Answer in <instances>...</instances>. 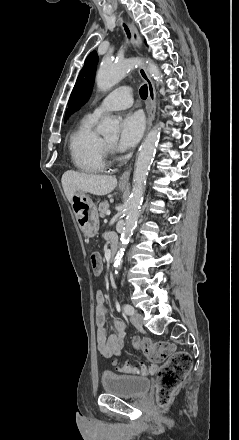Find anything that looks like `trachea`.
Segmentation results:
<instances>
[{"mask_svg": "<svg viewBox=\"0 0 239 440\" xmlns=\"http://www.w3.org/2000/svg\"><path fill=\"white\" fill-rule=\"evenodd\" d=\"M123 26H124V29L126 31V34H127L128 38L130 39L131 34H130V31H129L128 27L125 24H123ZM139 93H140L141 98H144V99L147 98V96H148V88H147L146 84L142 85V87L139 90Z\"/></svg>", "mask_w": 239, "mask_h": 440, "instance_id": "obj_1", "label": "trachea"}]
</instances>
